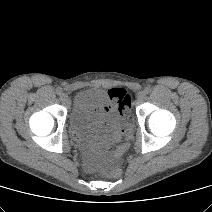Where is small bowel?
Wrapping results in <instances>:
<instances>
[{
    "instance_id": "obj_1",
    "label": "small bowel",
    "mask_w": 212,
    "mask_h": 212,
    "mask_svg": "<svg viewBox=\"0 0 212 212\" xmlns=\"http://www.w3.org/2000/svg\"><path fill=\"white\" fill-rule=\"evenodd\" d=\"M117 89L121 88L111 89L107 95L99 96L88 116V122H91L94 132L104 139L106 144L118 142L125 132L121 116L114 107L117 105L119 93L115 92L111 97V91Z\"/></svg>"
}]
</instances>
